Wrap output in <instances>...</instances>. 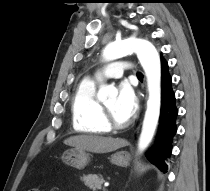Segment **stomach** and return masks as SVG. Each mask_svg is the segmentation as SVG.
Returning <instances> with one entry per match:
<instances>
[{"instance_id": "1", "label": "stomach", "mask_w": 210, "mask_h": 191, "mask_svg": "<svg viewBox=\"0 0 210 191\" xmlns=\"http://www.w3.org/2000/svg\"><path fill=\"white\" fill-rule=\"evenodd\" d=\"M62 161L69 166L82 169L88 164L89 154L81 149H71L63 154ZM110 161L117 166L126 167L129 165L130 157L127 152L120 151L113 154Z\"/></svg>"}]
</instances>
